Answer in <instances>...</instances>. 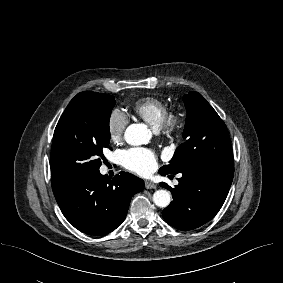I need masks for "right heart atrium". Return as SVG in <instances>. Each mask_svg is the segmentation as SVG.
Wrapping results in <instances>:
<instances>
[{
    "label": "right heart atrium",
    "mask_w": 283,
    "mask_h": 283,
    "mask_svg": "<svg viewBox=\"0 0 283 283\" xmlns=\"http://www.w3.org/2000/svg\"><path fill=\"white\" fill-rule=\"evenodd\" d=\"M127 123L128 119L123 112L118 109L111 112L108 118L107 128L109 137L113 142H118L122 139Z\"/></svg>",
    "instance_id": "d8ad5b80"
}]
</instances>
